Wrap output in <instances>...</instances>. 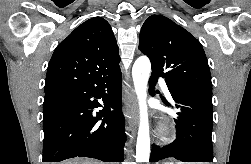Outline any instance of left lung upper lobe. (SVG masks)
<instances>
[{
	"instance_id": "1",
	"label": "left lung upper lobe",
	"mask_w": 251,
	"mask_h": 164,
	"mask_svg": "<svg viewBox=\"0 0 251 164\" xmlns=\"http://www.w3.org/2000/svg\"><path fill=\"white\" fill-rule=\"evenodd\" d=\"M139 50L152 64V74L165 81L212 95L205 52L187 30L162 15H151L139 35Z\"/></svg>"
}]
</instances>
